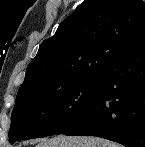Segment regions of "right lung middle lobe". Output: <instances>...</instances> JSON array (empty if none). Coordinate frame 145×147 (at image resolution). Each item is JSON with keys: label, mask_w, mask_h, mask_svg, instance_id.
Here are the masks:
<instances>
[{"label": "right lung middle lobe", "mask_w": 145, "mask_h": 147, "mask_svg": "<svg viewBox=\"0 0 145 147\" xmlns=\"http://www.w3.org/2000/svg\"><path fill=\"white\" fill-rule=\"evenodd\" d=\"M101 79V74H90L54 91L17 95L11 114L10 141L63 133L92 102Z\"/></svg>", "instance_id": "dd1d6c3e"}]
</instances>
